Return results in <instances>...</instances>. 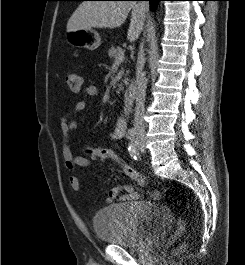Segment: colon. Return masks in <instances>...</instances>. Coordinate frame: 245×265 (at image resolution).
<instances>
[{
  "label": "colon",
  "instance_id": "colon-1",
  "mask_svg": "<svg viewBox=\"0 0 245 265\" xmlns=\"http://www.w3.org/2000/svg\"><path fill=\"white\" fill-rule=\"evenodd\" d=\"M66 82L68 88L73 93H81L82 89V79L75 72H69L66 76ZM86 154L93 159H99L102 161H110L116 164L128 177L136 181L137 183L144 185L146 184V179L135 171L132 167L126 164L121 158L116 154V152L109 148L104 147H88L86 148ZM184 246H180L178 249H182Z\"/></svg>",
  "mask_w": 245,
  "mask_h": 265
}]
</instances>
